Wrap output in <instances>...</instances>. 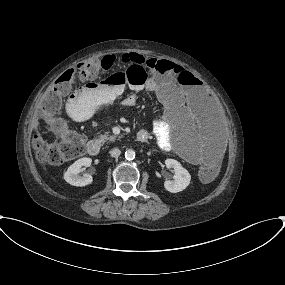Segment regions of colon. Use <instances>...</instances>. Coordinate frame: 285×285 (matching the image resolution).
Returning <instances> with one entry per match:
<instances>
[{
  "label": "colon",
  "instance_id": "colon-1",
  "mask_svg": "<svg viewBox=\"0 0 285 285\" xmlns=\"http://www.w3.org/2000/svg\"><path fill=\"white\" fill-rule=\"evenodd\" d=\"M112 65L113 59L107 56L99 60L87 59L76 68L66 70L39 100L38 114L44 118L56 115L64 96L74 83H87L104 77L106 82L116 84L131 82L133 86L141 87L147 83V70H153L160 76L171 75L180 83H187L191 77L182 67L167 60L150 59L132 62L127 65L126 70L105 76L112 69ZM33 143L37 149L39 161L46 164L59 165L85 154L84 136L65 125L59 126V132L52 139L45 140L40 135H36ZM218 172L219 161L214 157L201 166L200 177L204 181H209Z\"/></svg>",
  "mask_w": 285,
  "mask_h": 285
}]
</instances>
